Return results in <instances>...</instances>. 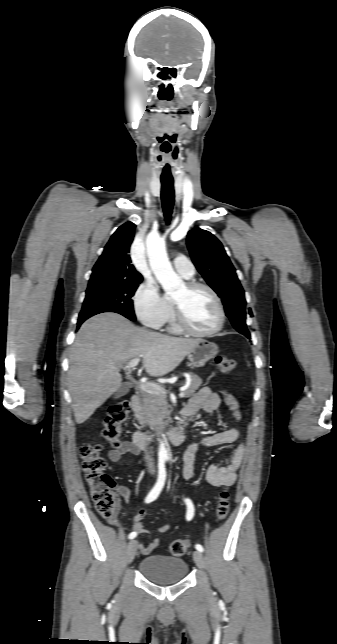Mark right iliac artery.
I'll use <instances>...</instances> for the list:
<instances>
[{
    "label": "right iliac artery",
    "mask_w": 337,
    "mask_h": 644,
    "mask_svg": "<svg viewBox=\"0 0 337 644\" xmlns=\"http://www.w3.org/2000/svg\"><path fill=\"white\" fill-rule=\"evenodd\" d=\"M166 480V468H165V460L160 459L158 462V479L155 484V486L152 488V490L149 492L147 497L145 498V503H150L154 501L160 494L161 490L164 487ZM137 536L136 532H131L128 536L129 539H134Z\"/></svg>",
    "instance_id": "1"
}]
</instances>
